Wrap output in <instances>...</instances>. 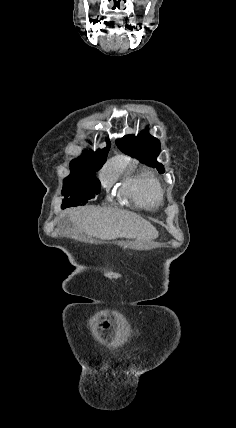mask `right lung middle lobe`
<instances>
[{
  "mask_svg": "<svg viewBox=\"0 0 236 428\" xmlns=\"http://www.w3.org/2000/svg\"><path fill=\"white\" fill-rule=\"evenodd\" d=\"M71 173L64 179L62 208L85 204L100 193V181L95 172L99 169L70 168Z\"/></svg>",
  "mask_w": 236,
  "mask_h": 428,
  "instance_id": "1",
  "label": "right lung middle lobe"
}]
</instances>
